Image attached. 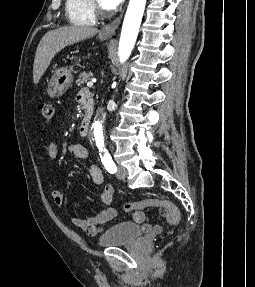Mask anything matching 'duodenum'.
<instances>
[{"label":"duodenum","mask_w":255,"mask_h":287,"mask_svg":"<svg viewBox=\"0 0 255 287\" xmlns=\"http://www.w3.org/2000/svg\"><path fill=\"white\" fill-rule=\"evenodd\" d=\"M78 99L83 104L85 109V114L79 126V133L81 136H86L90 129L91 119L94 110V102L91 94L85 90L79 93Z\"/></svg>","instance_id":"410a0bca"}]
</instances>
